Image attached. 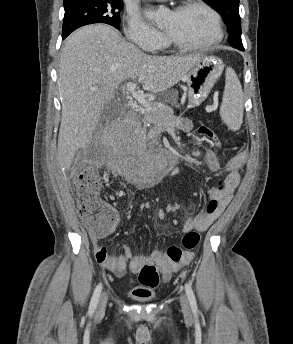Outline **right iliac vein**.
I'll list each match as a JSON object with an SVG mask.
<instances>
[{"instance_id": "1", "label": "right iliac vein", "mask_w": 293, "mask_h": 344, "mask_svg": "<svg viewBox=\"0 0 293 344\" xmlns=\"http://www.w3.org/2000/svg\"><path fill=\"white\" fill-rule=\"evenodd\" d=\"M107 300H108V296L106 293H103L99 299L98 305H97V310H96V316L97 317H102L104 312H105V308H106V304H107Z\"/></svg>"}]
</instances>
